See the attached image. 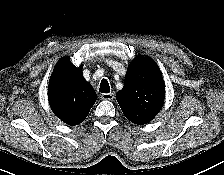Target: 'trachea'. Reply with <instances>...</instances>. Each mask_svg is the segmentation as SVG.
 <instances>
[{
  "mask_svg": "<svg viewBox=\"0 0 224 175\" xmlns=\"http://www.w3.org/2000/svg\"><path fill=\"white\" fill-rule=\"evenodd\" d=\"M99 91L101 93H109L110 92V87L108 84V81L106 79H102L99 87Z\"/></svg>",
  "mask_w": 224,
  "mask_h": 175,
  "instance_id": "1",
  "label": "trachea"
}]
</instances>
